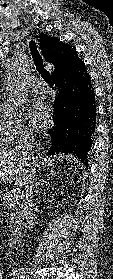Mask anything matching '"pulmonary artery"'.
<instances>
[{
    "label": "pulmonary artery",
    "instance_id": "e3ab8cb5",
    "mask_svg": "<svg viewBox=\"0 0 113 279\" xmlns=\"http://www.w3.org/2000/svg\"><path fill=\"white\" fill-rule=\"evenodd\" d=\"M31 89L38 94H44L48 91V88L43 80L35 78L29 81Z\"/></svg>",
    "mask_w": 113,
    "mask_h": 279
}]
</instances>
